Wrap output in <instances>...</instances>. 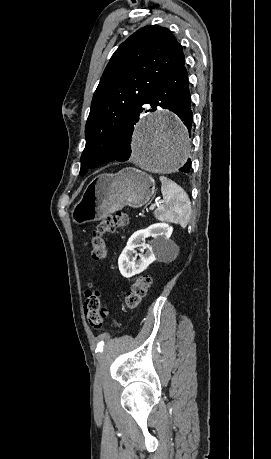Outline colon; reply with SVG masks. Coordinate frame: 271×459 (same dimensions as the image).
Masks as SVG:
<instances>
[{
    "instance_id": "colon-1",
    "label": "colon",
    "mask_w": 271,
    "mask_h": 459,
    "mask_svg": "<svg viewBox=\"0 0 271 459\" xmlns=\"http://www.w3.org/2000/svg\"><path fill=\"white\" fill-rule=\"evenodd\" d=\"M128 221L126 213L116 212L98 222L91 239V257L94 261H99L106 255L105 235L125 226ZM150 284L151 279L148 276L137 278L131 288L124 293L125 305L131 309L136 308L147 294ZM84 310L89 324L94 328H100L107 312L101 305L99 291H93L86 298Z\"/></svg>"
}]
</instances>
